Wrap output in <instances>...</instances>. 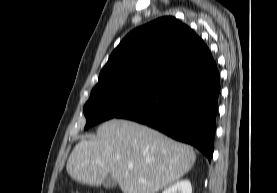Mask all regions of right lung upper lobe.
<instances>
[{
	"instance_id": "right-lung-upper-lobe-1",
	"label": "right lung upper lobe",
	"mask_w": 277,
	"mask_h": 193,
	"mask_svg": "<svg viewBox=\"0 0 277 193\" xmlns=\"http://www.w3.org/2000/svg\"><path fill=\"white\" fill-rule=\"evenodd\" d=\"M212 58L203 40L175 17L130 32L112 52L92 91L124 86L158 89Z\"/></svg>"
}]
</instances>
